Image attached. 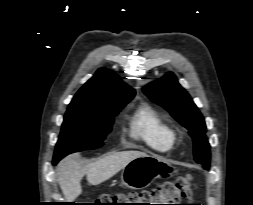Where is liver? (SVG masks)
Segmentation results:
<instances>
[{"label":"liver","instance_id":"liver-1","mask_svg":"<svg viewBox=\"0 0 253 205\" xmlns=\"http://www.w3.org/2000/svg\"><path fill=\"white\" fill-rule=\"evenodd\" d=\"M146 156L135 150L111 153L87 165H83L75 155L61 160L56 168L58 182L67 202H72L81 193V180L84 175L91 185H98L122 170L130 161Z\"/></svg>","mask_w":253,"mask_h":205}]
</instances>
